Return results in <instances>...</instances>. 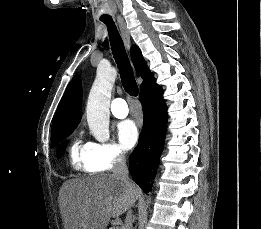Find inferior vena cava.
<instances>
[{
    "mask_svg": "<svg viewBox=\"0 0 261 229\" xmlns=\"http://www.w3.org/2000/svg\"><path fill=\"white\" fill-rule=\"evenodd\" d=\"M112 177H117L120 179L126 187H131L130 179L128 177V167L126 165V159L123 155H119L113 163V175ZM132 223H134L132 211H128L126 217V227L127 229H133Z\"/></svg>",
    "mask_w": 261,
    "mask_h": 229,
    "instance_id": "obj_1",
    "label": "inferior vena cava"
}]
</instances>
